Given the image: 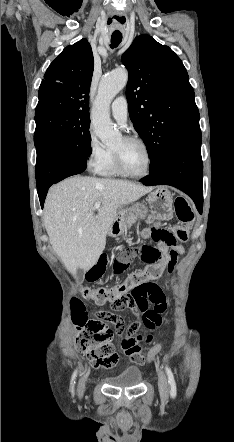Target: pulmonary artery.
Here are the masks:
<instances>
[{
  "label": "pulmonary artery",
  "instance_id": "pulmonary-artery-1",
  "mask_svg": "<svg viewBox=\"0 0 234 442\" xmlns=\"http://www.w3.org/2000/svg\"><path fill=\"white\" fill-rule=\"evenodd\" d=\"M111 111L115 120L125 126L128 118V103L124 96L116 98L111 104Z\"/></svg>",
  "mask_w": 234,
  "mask_h": 442
}]
</instances>
